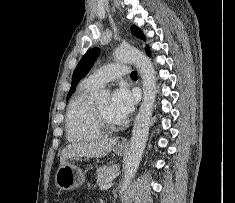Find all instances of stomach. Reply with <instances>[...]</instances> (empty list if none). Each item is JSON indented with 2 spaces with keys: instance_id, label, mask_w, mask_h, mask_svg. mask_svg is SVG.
I'll return each mask as SVG.
<instances>
[{
  "instance_id": "0dacf381",
  "label": "stomach",
  "mask_w": 235,
  "mask_h": 203,
  "mask_svg": "<svg viewBox=\"0 0 235 203\" xmlns=\"http://www.w3.org/2000/svg\"><path fill=\"white\" fill-rule=\"evenodd\" d=\"M114 152L123 155L125 148L116 146ZM85 182L84 172L74 163L66 161L60 165L55 175V184L60 190H73Z\"/></svg>"
}]
</instances>
